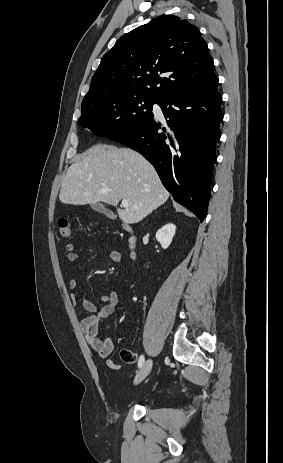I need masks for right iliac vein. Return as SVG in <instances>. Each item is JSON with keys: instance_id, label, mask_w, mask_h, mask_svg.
I'll return each instance as SVG.
<instances>
[{"instance_id": "right-iliac-vein-1", "label": "right iliac vein", "mask_w": 283, "mask_h": 463, "mask_svg": "<svg viewBox=\"0 0 283 463\" xmlns=\"http://www.w3.org/2000/svg\"><path fill=\"white\" fill-rule=\"evenodd\" d=\"M152 365H153L152 359H148L143 364V366L141 367V369L139 370V372L137 373L134 379V384L141 383L148 376V374L150 373L152 369Z\"/></svg>"}]
</instances>
